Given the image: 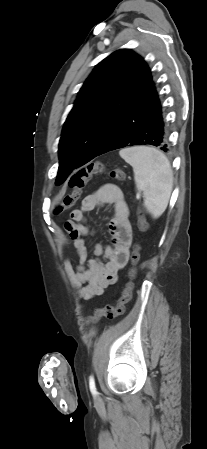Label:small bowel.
Instances as JSON below:
<instances>
[{"instance_id": "1", "label": "small bowel", "mask_w": 207, "mask_h": 449, "mask_svg": "<svg viewBox=\"0 0 207 449\" xmlns=\"http://www.w3.org/2000/svg\"><path fill=\"white\" fill-rule=\"evenodd\" d=\"M99 205H113L109 229L112 244L105 249L95 246V254L103 260H87L84 238L93 234L84 222L89 212ZM65 231L73 241L79 258L74 265L70 258L64 259V269L71 286L85 300L94 298L117 281L119 271L126 265L132 243L130 213L122 191L115 185H104L87 195L80 207L72 211L70 219L64 224Z\"/></svg>"}]
</instances>
